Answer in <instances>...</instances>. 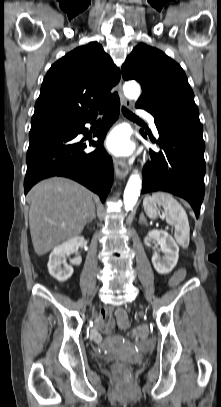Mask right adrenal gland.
Listing matches in <instances>:
<instances>
[{
    "instance_id": "obj_1",
    "label": "right adrenal gland",
    "mask_w": 221,
    "mask_h": 407,
    "mask_svg": "<svg viewBox=\"0 0 221 407\" xmlns=\"http://www.w3.org/2000/svg\"><path fill=\"white\" fill-rule=\"evenodd\" d=\"M94 219H96L95 206H94V208H93V214H92V216L89 218V220L87 221V224H90Z\"/></svg>"
}]
</instances>
